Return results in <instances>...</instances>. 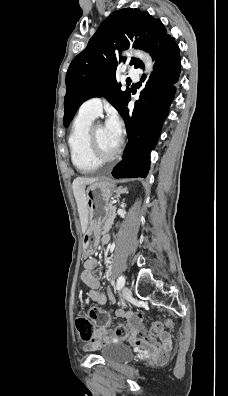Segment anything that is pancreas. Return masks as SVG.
<instances>
[{"label": "pancreas", "instance_id": "pancreas-1", "mask_svg": "<svg viewBox=\"0 0 228 396\" xmlns=\"http://www.w3.org/2000/svg\"><path fill=\"white\" fill-rule=\"evenodd\" d=\"M114 210H115V206H113V204L110 203V208L108 209V212H109V213H113ZM114 219H115V216H114V215H110V216H109L108 222H105V223H104V229H103V231H102V234H103V235H106V234L109 232L110 226H111V224L113 223V220H114Z\"/></svg>", "mask_w": 228, "mask_h": 396}]
</instances>
